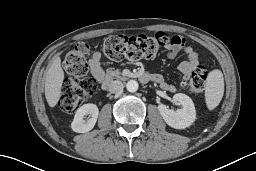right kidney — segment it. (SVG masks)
Listing matches in <instances>:
<instances>
[{
  "label": "right kidney",
  "mask_w": 256,
  "mask_h": 171,
  "mask_svg": "<svg viewBox=\"0 0 256 171\" xmlns=\"http://www.w3.org/2000/svg\"><path fill=\"white\" fill-rule=\"evenodd\" d=\"M98 107L95 104L88 103L82 105L75 113L71 128L77 133H86L93 129L98 118ZM89 115L90 118L84 120V116Z\"/></svg>",
  "instance_id": "1"
}]
</instances>
